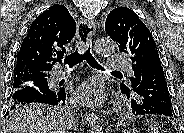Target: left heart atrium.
<instances>
[{
    "instance_id": "1",
    "label": "left heart atrium",
    "mask_w": 184,
    "mask_h": 133,
    "mask_svg": "<svg viewBox=\"0 0 184 133\" xmlns=\"http://www.w3.org/2000/svg\"><path fill=\"white\" fill-rule=\"evenodd\" d=\"M74 98L79 104L99 106L105 100L104 87L97 80H89L77 89Z\"/></svg>"
}]
</instances>
